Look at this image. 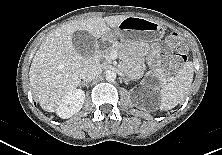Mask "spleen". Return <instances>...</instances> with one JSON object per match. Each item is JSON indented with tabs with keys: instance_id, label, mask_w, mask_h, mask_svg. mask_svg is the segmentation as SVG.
<instances>
[{
	"instance_id": "1",
	"label": "spleen",
	"mask_w": 222,
	"mask_h": 155,
	"mask_svg": "<svg viewBox=\"0 0 222 155\" xmlns=\"http://www.w3.org/2000/svg\"><path fill=\"white\" fill-rule=\"evenodd\" d=\"M194 75L193 63L186 62L175 77L169 78L160 89L162 111L174 108L186 97Z\"/></svg>"
}]
</instances>
